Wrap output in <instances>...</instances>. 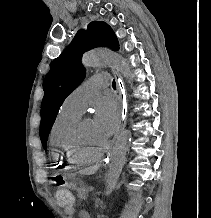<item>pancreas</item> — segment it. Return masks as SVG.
Instances as JSON below:
<instances>
[{"mask_svg": "<svg viewBox=\"0 0 211 218\" xmlns=\"http://www.w3.org/2000/svg\"><path fill=\"white\" fill-rule=\"evenodd\" d=\"M88 192L86 191V188H78L77 190V196L78 198H81V200H86Z\"/></svg>", "mask_w": 211, "mask_h": 218, "instance_id": "cf45deb5", "label": "pancreas"}]
</instances>
